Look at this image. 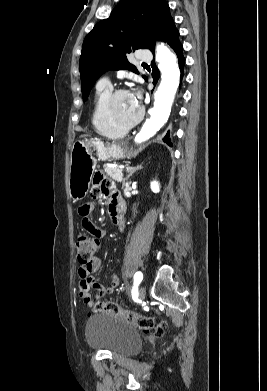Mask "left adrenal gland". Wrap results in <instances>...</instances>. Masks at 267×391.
I'll list each match as a JSON object with an SVG mask.
<instances>
[{
  "label": "left adrenal gland",
  "mask_w": 267,
  "mask_h": 391,
  "mask_svg": "<svg viewBox=\"0 0 267 391\" xmlns=\"http://www.w3.org/2000/svg\"><path fill=\"white\" fill-rule=\"evenodd\" d=\"M143 167L142 165H138L136 167H131L129 165L126 166V171L128 172V175L123 181V186H125V181L128 180L136 171L141 170Z\"/></svg>",
  "instance_id": "left-adrenal-gland-1"
}]
</instances>
